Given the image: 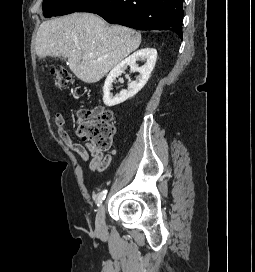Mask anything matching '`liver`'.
Listing matches in <instances>:
<instances>
[{"label": "liver", "mask_w": 255, "mask_h": 272, "mask_svg": "<svg viewBox=\"0 0 255 272\" xmlns=\"http://www.w3.org/2000/svg\"><path fill=\"white\" fill-rule=\"evenodd\" d=\"M140 43L141 34L133 29L109 26L92 13H72L42 22L35 50L40 58H67L77 78L96 83Z\"/></svg>", "instance_id": "liver-1"}]
</instances>
